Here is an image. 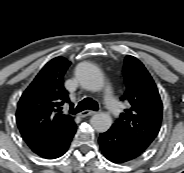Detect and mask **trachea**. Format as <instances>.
Here are the masks:
<instances>
[{
  "label": "trachea",
  "instance_id": "trachea-1",
  "mask_svg": "<svg viewBox=\"0 0 184 173\" xmlns=\"http://www.w3.org/2000/svg\"><path fill=\"white\" fill-rule=\"evenodd\" d=\"M87 109L97 111L99 109L98 103L92 98H85L79 102L76 109L74 110V114H77Z\"/></svg>",
  "mask_w": 184,
  "mask_h": 173
}]
</instances>
